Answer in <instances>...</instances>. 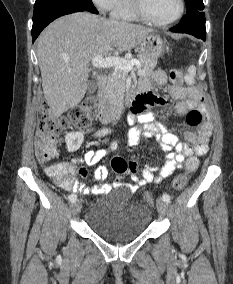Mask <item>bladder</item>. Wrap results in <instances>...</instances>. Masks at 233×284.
Segmentation results:
<instances>
[{"mask_svg":"<svg viewBox=\"0 0 233 284\" xmlns=\"http://www.w3.org/2000/svg\"><path fill=\"white\" fill-rule=\"evenodd\" d=\"M152 220L148 203L133 195L116 200H96L85 215V223L99 237L110 242H127L142 235Z\"/></svg>","mask_w":233,"mask_h":284,"instance_id":"bladder-1","label":"bladder"}]
</instances>
